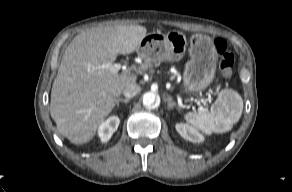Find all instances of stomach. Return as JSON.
Instances as JSON below:
<instances>
[{"instance_id":"1","label":"stomach","mask_w":292,"mask_h":192,"mask_svg":"<svg viewBox=\"0 0 292 192\" xmlns=\"http://www.w3.org/2000/svg\"><path fill=\"white\" fill-rule=\"evenodd\" d=\"M188 48L190 60L185 64L183 84L185 92L206 89L214 80L217 52L213 40L206 35L196 34L188 42L185 34L160 31L147 34L139 43L137 52L148 62L180 61Z\"/></svg>"}]
</instances>
